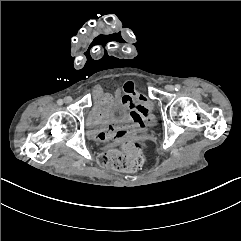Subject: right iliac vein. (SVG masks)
<instances>
[{
	"mask_svg": "<svg viewBox=\"0 0 241 241\" xmlns=\"http://www.w3.org/2000/svg\"><path fill=\"white\" fill-rule=\"evenodd\" d=\"M71 101H72V98H71L70 96H67V97H65V99H64V102H65L66 104H70Z\"/></svg>",
	"mask_w": 241,
	"mask_h": 241,
	"instance_id": "obj_1",
	"label": "right iliac vein"
}]
</instances>
